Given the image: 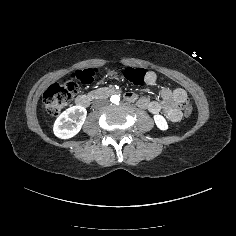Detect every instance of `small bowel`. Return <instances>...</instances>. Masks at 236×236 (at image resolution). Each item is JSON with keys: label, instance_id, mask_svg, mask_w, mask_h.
Here are the masks:
<instances>
[{"label": "small bowel", "instance_id": "small-bowel-1", "mask_svg": "<svg viewBox=\"0 0 236 236\" xmlns=\"http://www.w3.org/2000/svg\"><path fill=\"white\" fill-rule=\"evenodd\" d=\"M153 76L154 75H151L148 79H147V83L148 84H153L154 83V80H153ZM165 94H168L167 91L164 92ZM173 96H176L178 98V101H179V107H183V104L184 102L186 101V98H187V94L184 90L182 89H176L174 90L173 92ZM180 116V115H179Z\"/></svg>", "mask_w": 236, "mask_h": 236}]
</instances>
